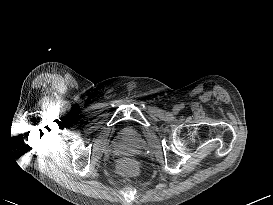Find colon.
I'll use <instances>...</instances> for the list:
<instances>
[{
    "mask_svg": "<svg viewBox=\"0 0 273 205\" xmlns=\"http://www.w3.org/2000/svg\"><path fill=\"white\" fill-rule=\"evenodd\" d=\"M119 171L123 176H130L136 171V164L130 159H124L120 162Z\"/></svg>",
    "mask_w": 273,
    "mask_h": 205,
    "instance_id": "5ec220e1",
    "label": "colon"
}]
</instances>
